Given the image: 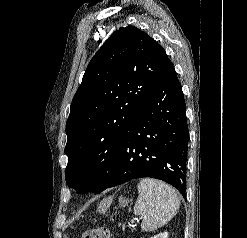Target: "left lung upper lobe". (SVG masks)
<instances>
[{
    "label": "left lung upper lobe",
    "instance_id": "5c2ea615",
    "mask_svg": "<svg viewBox=\"0 0 247 238\" xmlns=\"http://www.w3.org/2000/svg\"><path fill=\"white\" fill-rule=\"evenodd\" d=\"M167 60L163 47L134 26L116 30L96 52L66 123L67 185L78 193L104 189Z\"/></svg>",
    "mask_w": 247,
    "mask_h": 238
}]
</instances>
